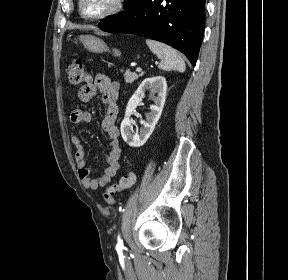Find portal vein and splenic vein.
Listing matches in <instances>:
<instances>
[{"instance_id":"obj_1","label":"portal vein and splenic vein","mask_w":288,"mask_h":280,"mask_svg":"<svg viewBox=\"0 0 288 280\" xmlns=\"http://www.w3.org/2000/svg\"><path fill=\"white\" fill-rule=\"evenodd\" d=\"M136 71H137V72H140V71H142V68H141V67H137V68H136Z\"/></svg>"}]
</instances>
